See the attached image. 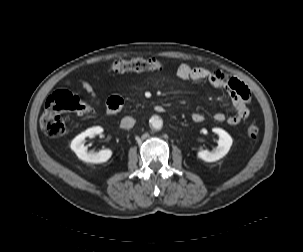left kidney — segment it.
Wrapping results in <instances>:
<instances>
[{
  "instance_id": "left-kidney-1",
  "label": "left kidney",
  "mask_w": 303,
  "mask_h": 252,
  "mask_svg": "<svg viewBox=\"0 0 303 252\" xmlns=\"http://www.w3.org/2000/svg\"><path fill=\"white\" fill-rule=\"evenodd\" d=\"M212 131L219 136L218 146L212 152L208 150H201L197 152V157L206 162H215L223 158L230 150L233 139L221 128H213Z\"/></svg>"
}]
</instances>
